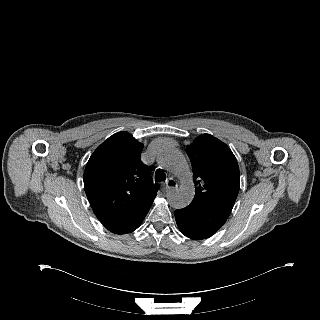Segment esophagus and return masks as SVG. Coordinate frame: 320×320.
<instances>
[{"mask_svg":"<svg viewBox=\"0 0 320 320\" xmlns=\"http://www.w3.org/2000/svg\"><path fill=\"white\" fill-rule=\"evenodd\" d=\"M177 186H178V184H177L176 180H174L173 178H169L164 185V190L170 191V190L177 188Z\"/></svg>","mask_w":320,"mask_h":320,"instance_id":"obj_1","label":"esophagus"}]
</instances>
